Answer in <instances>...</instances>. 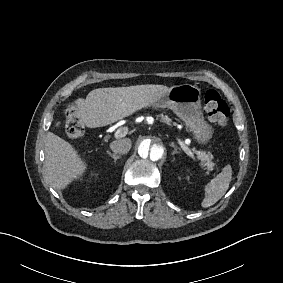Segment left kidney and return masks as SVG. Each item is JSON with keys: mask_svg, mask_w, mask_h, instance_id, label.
Masks as SVG:
<instances>
[{"mask_svg": "<svg viewBox=\"0 0 283 283\" xmlns=\"http://www.w3.org/2000/svg\"><path fill=\"white\" fill-rule=\"evenodd\" d=\"M186 179H187V180H189V179H190V177H189V176H187V177H186Z\"/></svg>", "mask_w": 283, "mask_h": 283, "instance_id": "5707ae66", "label": "left kidney"}]
</instances>
